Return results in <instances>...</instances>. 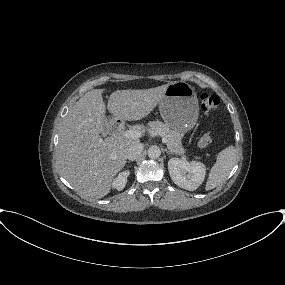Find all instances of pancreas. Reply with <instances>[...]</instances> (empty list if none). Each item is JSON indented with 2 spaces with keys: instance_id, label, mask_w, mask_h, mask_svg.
Wrapping results in <instances>:
<instances>
[{
  "instance_id": "cf45deb5",
  "label": "pancreas",
  "mask_w": 285,
  "mask_h": 285,
  "mask_svg": "<svg viewBox=\"0 0 285 285\" xmlns=\"http://www.w3.org/2000/svg\"><path fill=\"white\" fill-rule=\"evenodd\" d=\"M149 129L156 131L162 137L167 139V148L174 154L184 155L185 149L182 146V134L177 130L169 128L161 121H151L148 123Z\"/></svg>"
}]
</instances>
